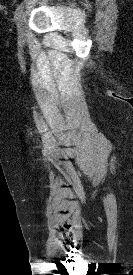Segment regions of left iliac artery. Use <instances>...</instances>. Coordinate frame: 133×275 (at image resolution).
Masks as SVG:
<instances>
[{
	"instance_id": "44dca946",
	"label": "left iliac artery",
	"mask_w": 133,
	"mask_h": 275,
	"mask_svg": "<svg viewBox=\"0 0 133 275\" xmlns=\"http://www.w3.org/2000/svg\"><path fill=\"white\" fill-rule=\"evenodd\" d=\"M22 11H23V3H21V4H19V5L17 6V8H16V10H15V18H17V16H18L19 14H21Z\"/></svg>"
}]
</instances>
